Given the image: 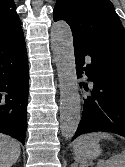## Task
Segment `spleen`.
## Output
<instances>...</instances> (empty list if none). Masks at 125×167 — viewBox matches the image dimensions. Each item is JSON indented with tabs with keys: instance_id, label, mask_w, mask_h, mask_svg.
Returning <instances> with one entry per match:
<instances>
[{
	"instance_id": "3e777b00",
	"label": "spleen",
	"mask_w": 125,
	"mask_h": 167,
	"mask_svg": "<svg viewBox=\"0 0 125 167\" xmlns=\"http://www.w3.org/2000/svg\"><path fill=\"white\" fill-rule=\"evenodd\" d=\"M102 139L113 140L114 138L106 133L94 132L84 134L74 142L73 153L75 158L81 162L82 167H85L88 161H92L100 156L101 148L99 142ZM97 167H125V150L120 154L112 155L107 160H99Z\"/></svg>"
}]
</instances>
